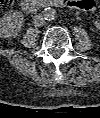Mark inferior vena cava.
Masks as SVG:
<instances>
[{
  "mask_svg": "<svg viewBox=\"0 0 100 118\" xmlns=\"http://www.w3.org/2000/svg\"><path fill=\"white\" fill-rule=\"evenodd\" d=\"M46 24V20L43 15L37 14L33 17V25L35 27H42Z\"/></svg>",
  "mask_w": 100,
  "mask_h": 118,
  "instance_id": "602c4592",
  "label": "inferior vena cava"
}]
</instances>
